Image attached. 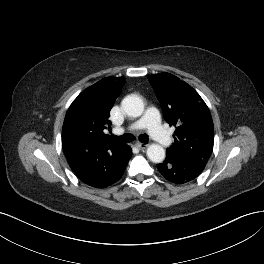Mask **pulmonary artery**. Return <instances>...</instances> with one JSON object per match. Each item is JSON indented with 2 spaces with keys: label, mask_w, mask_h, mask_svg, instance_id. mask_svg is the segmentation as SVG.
<instances>
[{
  "label": "pulmonary artery",
  "mask_w": 264,
  "mask_h": 264,
  "mask_svg": "<svg viewBox=\"0 0 264 264\" xmlns=\"http://www.w3.org/2000/svg\"><path fill=\"white\" fill-rule=\"evenodd\" d=\"M147 128L151 136L161 145L169 146L171 144L170 135L164 130L160 122V114L156 108H149L146 114L139 120L127 125L124 128H119L116 131L123 133L125 131L135 132Z\"/></svg>",
  "instance_id": "pulmonary-artery-1"
}]
</instances>
